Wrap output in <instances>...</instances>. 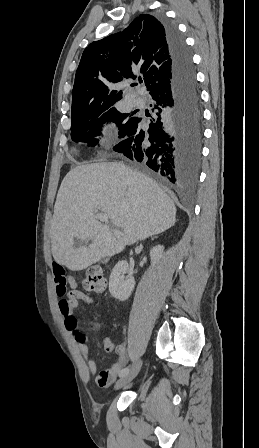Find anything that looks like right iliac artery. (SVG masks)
<instances>
[{"instance_id":"right-iliac-artery-1","label":"right iliac artery","mask_w":259,"mask_h":448,"mask_svg":"<svg viewBox=\"0 0 259 448\" xmlns=\"http://www.w3.org/2000/svg\"><path fill=\"white\" fill-rule=\"evenodd\" d=\"M128 372H129V368H123L119 373V377L126 375Z\"/></svg>"}]
</instances>
